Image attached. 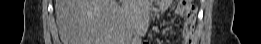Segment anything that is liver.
Here are the masks:
<instances>
[{"instance_id": "6515ba94", "label": "liver", "mask_w": 261, "mask_h": 44, "mask_svg": "<svg viewBox=\"0 0 261 44\" xmlns=\"http://www.w3.org/2000/svg\"><path fill=\"white\" fill-rule=\"evenodd\" d=\"M116 0H56L55 13L61 39L65 44H117L130 40L120 25L130 24Z\"/></svg>"}]
</instances>
